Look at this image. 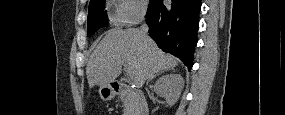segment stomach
<instances>
[{
    "mask_svg": "<svg viewBox=\"0 0 285 115\" xmlns=\"http://www.w3.org/2000/svg\"><path fill=\"white\" fill-rule=\"evenodd\" d=\"M99 94L103 101H109L115 96V91L112 86L108 84L100 88Z\"/></svg>",
    "mask_w": 285,
    "mask_h": 115,
    "instance_id": "stomach-1",
    "label": "stomach"
}]
</instances>
